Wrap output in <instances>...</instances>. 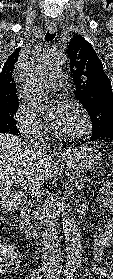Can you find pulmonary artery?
<instances>
[{
	"label": "pulmonary artery",
	"instance_id": "obj_1",
	"mask_svg": "<svg viewBox=\"0 0 113 279\" xmlns=\"http://www.w3.org/2000/svg\"><path fill=\"white\" fill-rule=\"evenodd\" d=\"M63 74L61 73H51L45 80H44V87L48 90H57L62 86V79Z\"/></svg>",
	"mask_w": 113,
	"mask_h": 279
}]
</instances>
